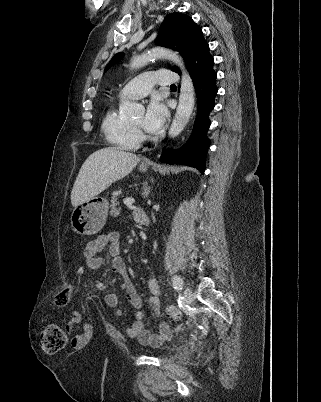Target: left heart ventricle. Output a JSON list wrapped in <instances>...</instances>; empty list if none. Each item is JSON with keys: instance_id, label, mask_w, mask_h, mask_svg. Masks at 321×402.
Returning a JSON list of instances; mask_svg holds the SVG:
<instances>
[{"instance_id": "b2bd125f", "label": "left heart ventricle", "mask_w": 321, "mask_h": 402, "mask_svg": "<svg viewBox=\"0 0 321 402\" xmlns=\"http://www.w3.org/2000/svg\"><path fill=\"white\" fill-rule=\"evenodd\" d=\"M143 120H144L143 115H140L135 120H133L132 124L137 127H141L143 125Z\"/></svg>"}]
</instances>
